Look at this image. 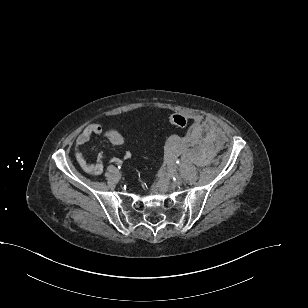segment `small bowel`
I'll use <instances>...</instances> for the list:
<instances>
[{"instance_id":"1","label":"small bowel","mask_w":308,"mask_h":308,"mask_svg":"<svg viewBox=\"0 0 308 308\" xmlns=\"http://www.w3.org/2000/svg\"><path fill=\"white\" fill-rule=\"evenodd\" d=\"M98 135H104L113 145L120 146L124 144L123 136L114 129L104 130L102 126L97 123L89 124L83 129L75 141V157L82 170L94 175H100L103 172L105 155L103 153L99 154L98 160L95 163H91L85 157L83 146L88 143L92 137ZM129 157L130 153H125L124 158L128 159ZM109 160L118 165L123 162L122 159L116 157H111Z\"/></svg>"}]
</instances>
